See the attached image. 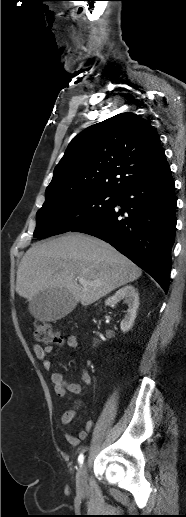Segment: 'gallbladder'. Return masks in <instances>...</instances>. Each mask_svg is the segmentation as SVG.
Masks as SVG:
<instances>
[{"instance_id":"obj_1","label":"gallbladder","mask_w":186,"mask_h":517,"mask_svg":"<svg viewBox=\"0 0 186 517\" xmlns=\"http://www.w3.org/2000/svg\"><path fill=\"white\" fill-rule=\"evenodd\" d=\"M73 296L59 289L45 290L29 304L30 313L39 320L54 321L69 314L75 307Z\"/></svg>"}]
</instances>
